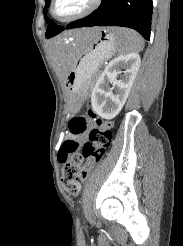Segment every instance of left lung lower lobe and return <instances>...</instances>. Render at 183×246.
<instances>
[{"label": "left lung lower lobe", "instance_id": "obj_1", "mask_svg": "<svg viewBox=\"0 0 183 246\" xmlns=\"http://www.w3.org/2000/svg\"><path fill=\"white\" fill-rule=\"evenodd\" d=\"M152 0H102L89 16L69 23L65 29L91 26H121L139 32L150 39Z\"/></svg>", "mask_w": 183, "mask_h": 246}]
</instances>
